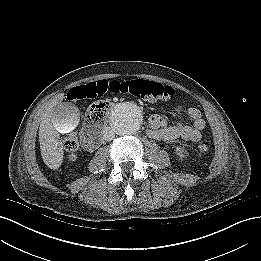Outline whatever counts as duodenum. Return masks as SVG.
Segmentation results:
<instances>
[{"label":"duodenum","mask_w":261,"mask_h":261,"mask_svg":"<svg viewBox=\"0 0 261 261\" xmlns=\"http://www.w3.org/2000/svg\"><path fill=\"white\" fill-rule=\"evenodd\" d=\"M83 139L91 146L92 149H95L100 145L102 136H95V134L90 129H86L83 133Z\"/></svg>","instance_id":"410a0bca"}]
</instances>
